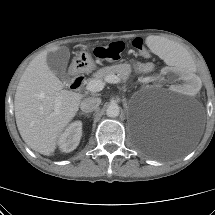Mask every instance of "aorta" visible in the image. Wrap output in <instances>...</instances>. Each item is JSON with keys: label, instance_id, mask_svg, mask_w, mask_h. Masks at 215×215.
Masks as SVG:
<instances>
[{"label": "aorta", "instance_id": "1", "mask_svg": "<svg viewBox=\"0 0 215 215\" xmlns=\"http://www.w3.org/2000/svg\"><path fill=\"white\" fill-rule=\"evenodd\" d=\"M119 114H120V108L116 103H111L106 109V115L108 117L115 118L119 116Z\"/></svg>", "mask_w": 215, "mask_h": 215}]
</instances>
